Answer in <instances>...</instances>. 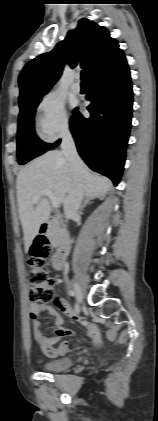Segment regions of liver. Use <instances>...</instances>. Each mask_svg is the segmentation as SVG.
<instances>
[{
    "label": "liver",
    "mask_w": 158,
    "mask_h": 421,
    "mask_svg": "<svg viewBox=\"0 0 158 421\" xmlns=\"http://www.w3.org/2000/svg\"><path fill=\"white\" fill-rule=\"evenodd\" d=\"M72 172L62 151L52 150L39 156L26 165L17 176L16 189L25 248L28 249L39 232L41 224L50 216V204L41 196L33 203V198L41 190L49 189L54 196L64 203V199L72 188ZM83 195L87 199L104 196L111 188L112 182L91 172L83 163L82 173Z\"/></svg>",
    "instance_id": "liver-1"
}]
</instances>
